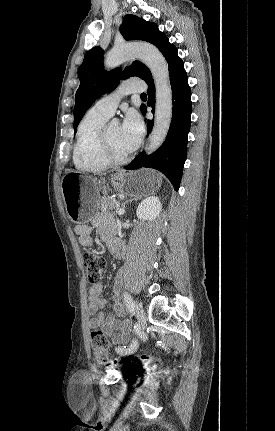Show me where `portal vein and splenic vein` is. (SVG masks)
I'll list each match as a JSON object with an SVG mask.
<instances>
[{
    "mask_svg": "<svg viewBox=\"0 0 275 431\" xmlns=\"http://www.w3.org/2000/svg\"><path fill=\"white\" fill-rule=\"evenodd\" d=\"M116 213H117L118 215H122V214H124V213H125V210H123V209H116Z\"/></svg>",
    "mask_w": 275,
    "mask_h": 431,
    "instance_id": "1",
    "label": "portal vein and splenic vein"
}]
</instances>
